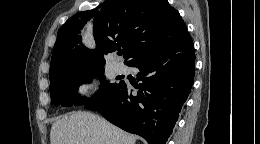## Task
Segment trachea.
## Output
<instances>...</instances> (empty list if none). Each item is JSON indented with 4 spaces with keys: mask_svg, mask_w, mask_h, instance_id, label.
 <instances>
[{
    "mask_svg": "<svg viewBox=\"0 0 260 144\" xmlns=\"http://www.w3.org/2000/svg\"><path fill=\"white\" fill-rule=\"evenodd\" d=\"M122 53H123L122 51H119V52H118L119 55H122Z\"/></svg>",
    "mask_w": 260,
    "mask_h": 144,
    "instance_id": "obj_1",
    "label": "trachea"
}]
</instances>
